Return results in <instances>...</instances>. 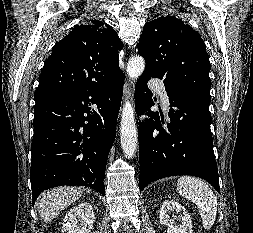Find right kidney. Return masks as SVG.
I'll return each mask as SVG.
<instances>
[{"mask_svg":"<svg viewBox=\"0 0 253 233\" xmlns=\"http://www.w3.org/2000/svg\"><path fill=\"white\" fill-rule=\"evenodd\" d=\"M94 220L95 215L91 204L82 202L66 214L62 233H90Z\"/></svg>","mask_w":253,"mask_h":233,"instance_id":"ca27d5eb","label":"right kidney"}]
</instances>
